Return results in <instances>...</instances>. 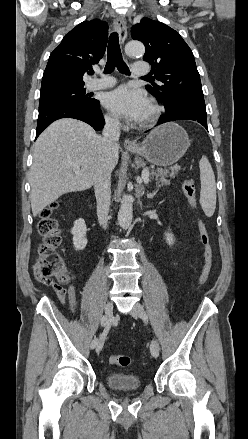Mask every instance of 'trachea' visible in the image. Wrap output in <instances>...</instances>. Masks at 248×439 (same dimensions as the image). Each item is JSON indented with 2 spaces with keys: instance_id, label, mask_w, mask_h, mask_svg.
Returning a JSON list of instances; mask_svg holds the SVG:
<instances>
[{
  "instance_id": "3493384b",
  "label": "trachea",
  "mask_w": 248,
  "mask_h": 439,
  "mask_svg": "<svg viewBox=\"0 0 248 439\" xmlns=\"http://www.w3.org/2000/svg\"><path fill=\"white\" fill-rule=\"evenodd\" d=\"M122 74L129 75L130 71L126 63L123 61L122 53L119 45L118 33L114 32L110 35V40L107 49V63L104 69L105 74H110L114 68ZM93 71L90 72V75Z\"/></svg>"
}]
</instances>
